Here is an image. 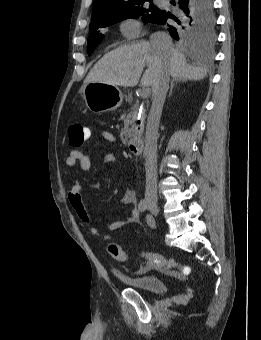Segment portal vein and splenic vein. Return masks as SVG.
I'll return each mask as SVG.
<instances>
[{"instance_id": "portal-vein-and-splenic-vein-1", "label": "portal vein and splenic vein", "mask_w": 261, "mask_h": 340, "mask_svg": "<svg viewBox=\"0 0 261 340\" xmlns=\"http://www.w3.org/2000/svg\"><path fill=\"white\" fill-rule=\"evenodd\" d=\"M149 94H150V89L147 88V89H145V90L142 92L141 97H142L143 99H145V98L148 97Z\"/></svg>"}]
</instances>
